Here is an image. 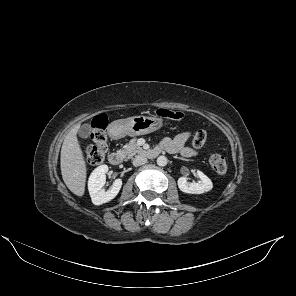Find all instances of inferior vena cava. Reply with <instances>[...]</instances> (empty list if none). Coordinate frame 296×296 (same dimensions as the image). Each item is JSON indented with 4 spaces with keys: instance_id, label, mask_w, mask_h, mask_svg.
Segmentation results:
<instances>
[{
    "instance_id": "obj_1",
    "label": "inferior vena cava",
    "mask_w": 296,
    "mask_h": 296,
    "mask_svg": "<svg viewBox=\"0 0 296 296\" xmlns=\"http://www.w3.org/2000/svg\"><path fill=\"white\" fill-rule=\"evenodd\" d=\"M147 162V158L144 155H137L132 159L134 166H141Z\"/></svg>"
}]
</instances>
